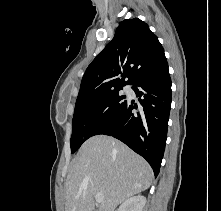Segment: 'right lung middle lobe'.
<instances>
[{
    "label": "right lung middle lobe",
    "mask_w": 221,
    "mask_h": 211,
    "mask_svg": "<svg viewBox=\"0 0 221 211\" xmlns=\"http://www.w3.org/2000/svg\"><path fill=\"white\" fill-rule=\"evenodd\" d=\"M121 89L77 98L72 120L71 153L88 138L97 135L125 106L127 100L119 95ZM104 109L105 113L100 114Z\"/></svg>",
    "instance_id": "right-lung-middle-lobe-1"
}]
</instances>
